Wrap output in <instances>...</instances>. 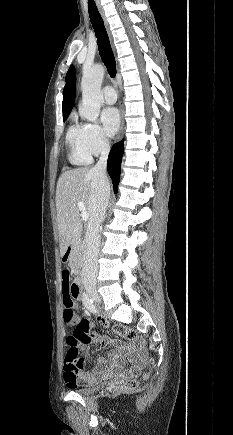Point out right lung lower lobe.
I'll return each mask as SVG.
<instances>
[{"instance_id": "98d812e1", "label": "right lung lower lobe", "mask_w": 233, "mask_h": 435, "mask_svg": "<svg viewBox=\"0 0 233 435\" xmlns=\"http://www.w3.org/2000/svg\"><path fill=\"white\" fill-rule=\"evenodd\" d=\"M124 152L123 140L113 145L108 156V173L113 181L114 192L117 193L121 172V161Z\"/></svg>"}]
</instances>
